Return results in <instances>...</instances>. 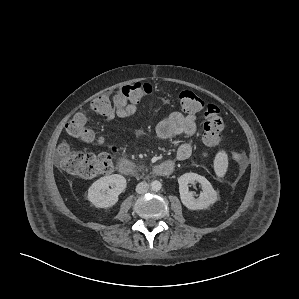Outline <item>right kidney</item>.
I'll use <instances>...</instances> for the list:
<instances>
[{
    "mask_svg": "<svg viewBox=\"0 0 299 299\" xmlns=\"http://www.w3.org/2000/svg\"><path fill=\"white\" fill-rule=\"evenodd\" d=\"M126 185V179L119 174L101 177L88 189V200L97 208L112 207L118 202V196Z\"/></svg>",
    "mask_w": 299,
    "mask_h": 299,
    "instance_id": "ca27d5eb",
    "label": "right kidney"
}]
</instances>
